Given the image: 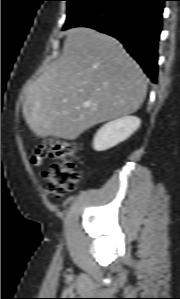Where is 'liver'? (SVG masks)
<instances>
[{
    "instance_id": "obj_1",
    "label": "liver",
    "mask_w": 180,
    "mask_h": 299,
    "mask_svg": "<svg viewBox=\"0 0 180 299\" xmlns=\"http://www.w3.org/2000/svg\"><path fill=\"white\" fill-rule=\"evenodd\" d=\"M146 92L143 71L119 41L73 28L60 58L26 88L23 115L37 137L75 140L98 123L136 112Z\"/></svg>"
}]
</instances>
